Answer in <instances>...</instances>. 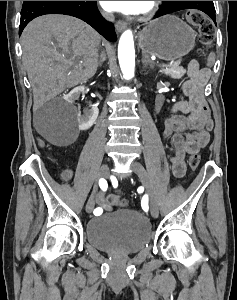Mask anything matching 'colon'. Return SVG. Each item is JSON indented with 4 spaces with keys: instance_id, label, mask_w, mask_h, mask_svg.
I'll use <instances>...</instances> for the list:
<instances>
[{
    "instance_id": "5ec220e1",
    "label": "colon",
    "mask_w": 237,
    "mask_h": 300,
    "mask_svg": "<svg viewBox=\"0 0 237 300\" xmlns=\"http://www.w3.org/2000/svg\"><path fill=\"white\" fill-rule=\"evenodd\" d=\"M187 21L198 28L199 39L203 46L209 47L215 38V25L213 21L206 16L204 12L198 9H191L186 12ZM200 162V155L198 152L193 153L189 159V165L192 170H196ZM110 202L116 206H125L126 201L120 194H113L110 197Z\"/></svg>"
}]
</instances>
